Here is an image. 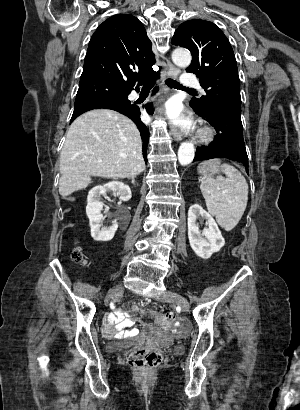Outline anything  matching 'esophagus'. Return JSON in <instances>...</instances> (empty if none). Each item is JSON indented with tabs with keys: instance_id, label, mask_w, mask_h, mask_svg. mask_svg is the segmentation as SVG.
Instances as JSON below:
<instances>
[{
	"instance_id": "esophagus-1",
	"label": "esophagus",
	"mask_w": 300,
	"mask_h": 410,
	"mask_svg": "<svg viewBox=\"0 0 300 410\" xmlns=\"http://www.w3.org/2000/svg\"><path fill=\"white\" fill-rule=\"evenodd\" d=\"M180 73V70L173 66L170 62H168V70H167V75L171 78H176ZM170 134L176 141H181L182 140V134L179 132V130L175 127H173L170 131Z\"/></svg>"
}]
</instances>
